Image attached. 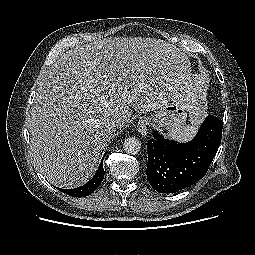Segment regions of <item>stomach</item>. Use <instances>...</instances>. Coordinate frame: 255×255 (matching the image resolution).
<instances>
[{"label": "stomach", "mask_w": 255, "mask_h": 255, "mask_svg": "<svg viewBox=\"0 0 255 255\" xmlns=\"http://www.w3.org/2000/svg\"><path fill=\"white\" fill-rule=\"evenodd\" d=\"M187 113L183 101L171 99L153 116V121L159 126L169 130L183 127L186 123Z\"/></svg>", "instance_id": "1"}]
</instances>
